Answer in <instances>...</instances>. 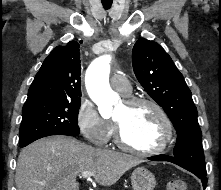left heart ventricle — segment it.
Instances as JSON below:
<instances>
[{
    "mask_svg": "<svg viewBox=\"0 0 221 190\" xmlns=\"http://www.w3.org/2000/svg\"><path fill=\"white\" fill-rule=\"evenodd\" d=\"M113 119L121 124L128 143L138 148L158 145L163 135V124L158 113L148 105L128 107L124 101L116 109Z\"/></svg>",
    "mask_w": 221,
    "mask_h": 190,
    "instance_id": "left-heart-ventricle-1",
    "label": "left heart ventricle"
}]
</instances>
